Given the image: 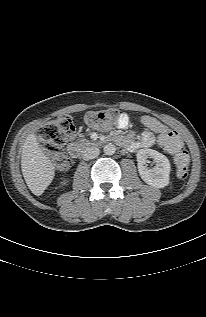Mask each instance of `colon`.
<instances>
[{"label":"colon","mask_w":206,"mask_h":317,"mask_svg":"<svg viewBox=\"0 0 206 317\" xmlns=\"http://www.w3.org/2000/svg\"><path fill=\"white\" fill-rule=\"evenodd\" d=\"M121 114L117 109L91 111L85 116V124L94 129L108 130L117 125ZM74 130L70 116L58 117L42 127L38 132V139L42 147L52 155L54 165L60 172L67 171L71 165V158L65 153L64 145ZM162 148L173 155L177 175L184 178L189 167V155L180 136L175 132L166 134L160 141Z\"/></svg>","instance_id":"5ec220e1"}]
</instances>
